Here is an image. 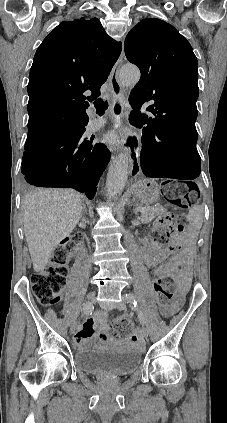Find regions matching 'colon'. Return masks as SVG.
I'll use <instances>...</instances> for the list:
<instances>
[{
	"instance_id": "obj_1",
	"label": "colon",
	"mask_w": 227,
	"mask_h": 423,
	"mask_svg": "<svg viewBox=\"0 0 227 423\" xmlns=\"http://www.w3.org/2000/svg\"><path fill=\"white\" fill-rule=\"evenodd\" d=\"M162 193L169 202L180 209L188 208L199 194L194 183H187L183 186L166 183ZM181 219L180 214L167 213L163 215L154 231V240L175 248L176 244L173 243L171 234L173 231L177 233L183 231ZM82 240L83 236L79 234L71 240L62 242L55 248L49 265L33 276L31 291L42 305L48 306L60 301L69 273L68 263ZM154 288L160 304H167L175 295L174 283L169 278L158 279ZM115 323L122 332H129L132 329L131 323L126 318H119Z\"/></svg>"
}]
</instances>
